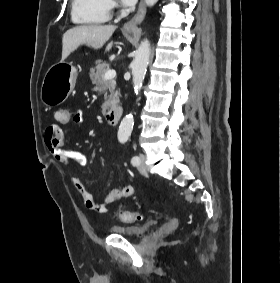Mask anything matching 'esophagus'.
Listing matches in <instances>:
<instances>
[{
    "instance_id": "obj_1",
    "label": "esophagus",
    "mask_w": 280,
    "mask_h": 283,
    "mask_svg": "<svg viewBox=\"0 0 280 283\" xmlns=\"http://www.w3.org/2000/svg\"><path fill=\"white\" fill-rule=\"evenodd\" d=\"M145 14H146L145 2L144 0H141L137 13L134 15L132 19H130L124 24L123 29L127 31L137 29L138 25L143 21Z\"/></svg>"
}]
</instances>
